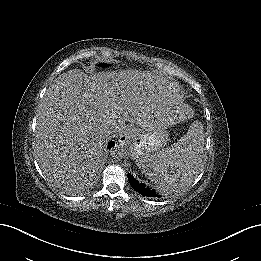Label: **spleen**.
<instances>
[{"label": "spleen", "mask_w": 261, "mask_h": 261, "mask_svg": "<svg viewBox=\"0 0 261 261\" xmlns=\"http://www.w3.org/2000/svg\"><path fill=\"white\" fill-rule=\"evenodd\" d=\"M200 159V135L190 128L177 143L146 156L137 165L165 192L179 190L181 184L190 179L192 168L198 166Z\"/></svg>", "instance_id": "spleen-1"}]
</instances>
